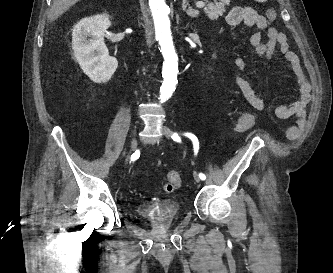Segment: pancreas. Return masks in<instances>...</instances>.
<instances>
[{"label":"pancreas","mask_w":333,"mask_h":273,"mask_svg":"<svg viewBox=\"0 0 333 273\" xmlns=\"http://www.w3.org/2000/svg\"><path fill=\"white\" fill-rule=\"evenodd\" d=\"M230 0H221L218 3H208L204 8V12L211 20H217L219 16L225 13V5H229Z\"/></svg>","instance_id":"pancreas-1"}]
</instances>
